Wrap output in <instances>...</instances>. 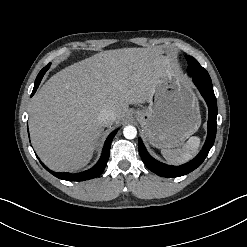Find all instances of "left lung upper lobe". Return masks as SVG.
<instances>
[{
  "label": "left lung upper lobe",
  "mask_w": 247,
  "mask_h": 247,
  "mask_svg": "<svg viewBox=\"0 0 247 247\" xmlns=\"http://www.w3.org/2000/svg\"><path fill=\"white\" fill-rule=\"evenodd\" d=\"M186 59L189 64L188 70H192V72H194V74H196L200 78L211 79L208 72L198 63L195 58L186 55Z\"/></svg>",
  "instance_id": "1"
}]
</instances>
